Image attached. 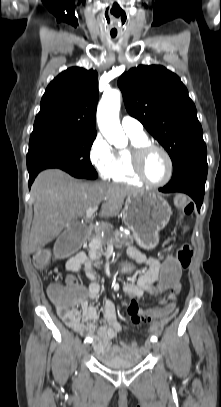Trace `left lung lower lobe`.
Returning a JSON list of instances; mask_svg holds the SVG:
<instances>
[{
    "label": "left lung lower lobe",
    "mask_w": 221,
    "mask_h": 407,
    "mask_svg": "<svg viewBox=\"0 0 221 407\" xmlns=\"http://www.w3.org/2000/svg\"><path fill=\"white\" fill-rule=\"evenodd\" d=\"M208 164L206 156L194 158L173 173L171 181L160 188L164 193L182 192L192 197L198 211L203 202Z\"/></svg>",
    "instance_id": "1"
}]
</instances>
